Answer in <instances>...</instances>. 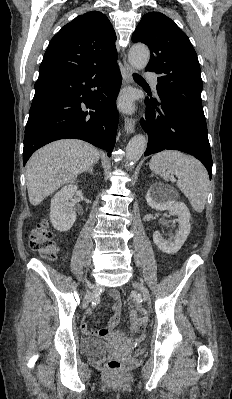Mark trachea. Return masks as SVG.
<instances>
[{"mask_svg": "<svg viewBox=\"0 0 232 399\" xmlns=\"http://www.w3.org/2000/svg\"><path fill=\"white\" fill-rule=\"evenodd\" d=\"M133 78L134 80H144V78L141 77V75H138V73H133Z\"/></svg>", "mask_w": 232, "mask_h": 399, "instance_id": "3493384b", "label": "trachea"}]
</instances>
